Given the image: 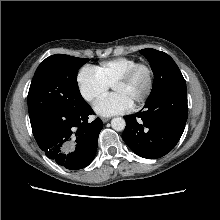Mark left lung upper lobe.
Segmentation results:
<instances>
[{"label":"left lung upper lobe","mask_w":220,"mask_h":220,"mask_svg":"<svg viewBox=\"0 0 220 220\" xmlns=\"http://www.w3.org/2000/svg\"><path fill=\"white\" fill-rule=\"evenodd\" d=\"M140 53L148 59L154 73L153 89L148 100L168 90L186 87V81L182 73L168 54L151 48L142 49Z\"/></svg>","instance_id":"5c2ea615"}]
</instances>
